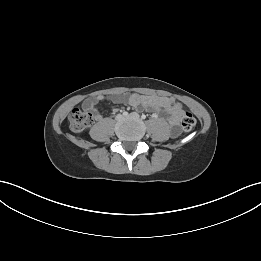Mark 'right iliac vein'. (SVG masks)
Returning <instances> with one entry per match:
<instances>
[{"label":"right iliac vein","mask_w":261,"mask_h":261,"mask_svg":"<svg viewBox=\"0 0 261 261\" xmlns=\"http://www.w3.org/2000/svg\"><path fill=\"white\" fill-rule=\"evenodd\" d=\"M115 119H116L117 121H120V120L123 119V115L118 114V115L115 117Z\"/></svg>","instance_id":"obj_1"}]
</instances>
